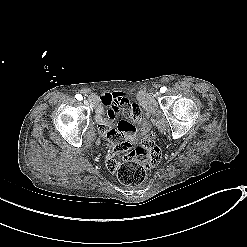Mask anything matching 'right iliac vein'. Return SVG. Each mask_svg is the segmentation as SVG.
Returning a JSON list of instances; mask_svg holds the SVG:
<instances>
[{
    "instance_id": "right-iliac-vein-1",
    "label": "right iliac vein",
    "mask_w": 247,
    "mask_h": 247,
    "mask_svg": "<svg viewBox=\"0 0 247 247\" xmlns=\"http://www.w3.org/2000/svg\"><path fill=\"white\" fill-rule=\"evenodd\" d=\"M83 102H84V104H85L86 106L89 105V101H88V100L84 99Z\"/></svg>"
}]
</instances>
